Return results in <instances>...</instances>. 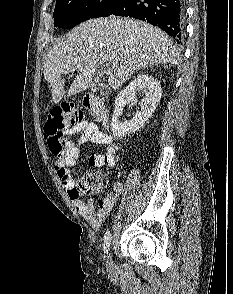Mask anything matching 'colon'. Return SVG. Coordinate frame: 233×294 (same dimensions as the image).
Here are the masks:
<instances>
[{
	"instance_id": "5ec220e1",
	"label": "colon",
	"mask_w": 233,
	"mask_h": 294,
	"mask_svg": "<svg viewBox=\"0 0 233 294\" xmlns=\"http://www.w3.org/2000/svg\"><path fill=\"white\" fill-rule=\"evenodd\" d=\"M84 121L83 112L73 104H62L53 108L44 125V137L47 141L50 152L57 158L63 157L67 148L66 134ZM102 187V176L98 173H87L77 183L75 193L94 194Z\"/></svg>"
}]
</instances>
